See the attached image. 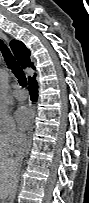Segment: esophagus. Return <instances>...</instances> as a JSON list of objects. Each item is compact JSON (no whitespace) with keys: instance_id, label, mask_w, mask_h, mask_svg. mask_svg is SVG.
<instances>
[{"instance_id":"obj_1","label":"esophagus","mask_w":89,"mask_h":203,"mask_svg":"<svg viewBox=\"0 0 89 203\" xmlns=\"http://www.w3.org/2000/svg\"><path fill=\"white\" fill-rule=\"evenodd\" d=\"M1 37L5 40L8 41L7 36L4 33H1ZM33 132V124L30 127L29 133H28V143H27V150H29L30 146H31V135Z\"/></svg>"}]
</instances>
